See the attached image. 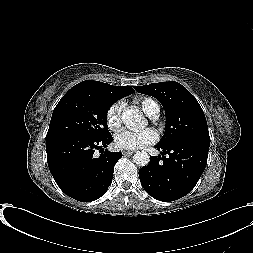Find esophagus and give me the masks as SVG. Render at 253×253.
Returning a JSON list of instances; mask_svg holds the SVG:
<instances>
[{
	"mask_svg": "<svg viewBox=\"0 0 253 253\" xmlns=\"http://www.w3.org/2000/svg\"><path fill=\"white\" fill-rule=\"evenodd\" d=\"M124 156H127V155H132L135 153V151H130V150H127V151H123L122 152Z\"/></svg>",
	"mask_w": 253,
	"mask_h": 253,
	"instance_id": "obj_1",
	"label": "esophagus"
}]
</instances>
